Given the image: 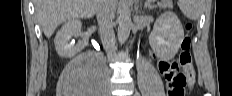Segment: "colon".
<instances>
[{"instance_id": "1", "label": "colon", "mask_w": 232, "mask_h": 96, "mask_svg": "<svg viewBox=\"0 0 232 96\" xmlns=\"http://www.w3.org/2000/svg\"><path fill=\"white\" fill-rule=\"evenodd\" d=\"M192 28L191 23L186 24V30L190 31ZM191 38L187 35L181 43V50L176 60L162 62L171 63V68H162V73L168 81V95L169 96H184L186 85L189 79L185 74V69L191 66Z\"/></svg>"}]
</instances>
